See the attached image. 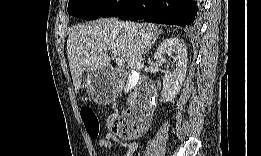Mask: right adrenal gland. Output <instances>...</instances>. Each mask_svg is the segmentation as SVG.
I'll return each instance as SVG.
<instances>
[{
    "mask_svg": "<svg viewBox=\"0 0 261 156\" xmlns=\"http://www.w3.org/2000/svg\"><path fill=\"white\" fill-rule=\"evenodd\" d=\"M151 48V45L146 49V51L145 52H147L149 49Z\"/></svg>",
    "mask_w": 261,
    "mask_h": 156,
    "instance_id": "obj_1",
    "label": "right adrenal gland"
}]
</instances>
